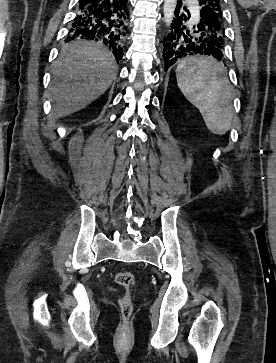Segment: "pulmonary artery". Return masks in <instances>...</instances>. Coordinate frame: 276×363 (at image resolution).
<instances>
[{"mask_svg": "<svg viewBox=\"0 0 276 363\" xmlns=\"http://www.w3.org/2000/svg\"><path fill=\"white\" fill-rule=\"evenodd\" d=\"M190 3H193L194 0H188Z\"/></svg>", "mask_w": 276, "mask_h": 363, "instance_id": "e3ab8cb5", "label": "pulmonary artery"}]
</instances>
